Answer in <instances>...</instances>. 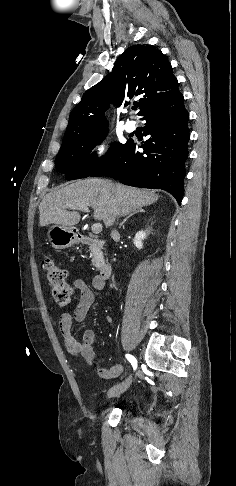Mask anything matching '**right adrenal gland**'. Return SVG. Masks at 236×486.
I'll list each match as a JSON object with an SVG mask.
<instances>
[{
  "label": "right adrenal gland",
  "mask_w": 236,
  "mask_h": 486,
  "mask_svg": "<svg viewBox=\"0 0 236 486\" xmlns=\"http://www.w3.org/2000/svg\"><path fill=\"white\" fill-rule=\"evenodd\" d=\"M141 212H144L143 209H137L135 211H133L132 213H130L119 225V228H121L123 226V224L130 218L132 217L133 215L137 214V213H141Z\"/></svg>",
  "instance_id": "right-adrenal-gland-1"
}]
</instances>
